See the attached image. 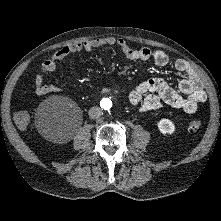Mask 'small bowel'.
I'll return each mask as SVG.
<instances>
[{
  "instance_id": "1",
  "label": "small bowel",
  "mask_w": 221,
  "mask_h": 221,
  "mask_svg": "<svg viewBox=\"0 0 221 221\" xmlns=\"http://www.w3.org/2000/svg\"><path fill=\"white\" fill-rule=\"evenodd\" d=\"M114 45L118 46L124 57L131 61L153 60L160 67L169 63L168 55L159 49L152 50L148 47L134 49L130 47L126 40L114 37L89 39L64 46L55 52L52 57L45 60L41 65V73L35 77V93L42 96L61 91L59 86L45 83L44 75L54 72L57 63L71 54L82 51L90 52ZM174 67L185 76L180 81L178 90L161 78H151L139 84L129 93L131 104L141 112L156 110L166 104L172 108L181 109L188 114L194 113L198 105L204 102L207 97L203 85L187 61L178 59L174 63Z\"/></svg>"
}]
</instances>
